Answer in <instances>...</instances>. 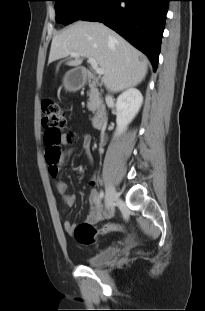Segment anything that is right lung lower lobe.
I'll return each mask as SVG.
<instances>
[{
	"label": "right lung lower lobe",
	"instance_id": "right-lung-lower-lobe-1",
	"mask_svg": "<svg viewBox=\"0 0 205 311\" xmlns=\"http://www.w3.org/2000/svg\"><path fill=\"white\" fill-rule=\"evenodd\" d=\"M170 0H102L80 20L102 22L150 59L154 71Z\"/></svg>",
	"mask_w": 205,
	"mask_h": 311
}]
</instances>
